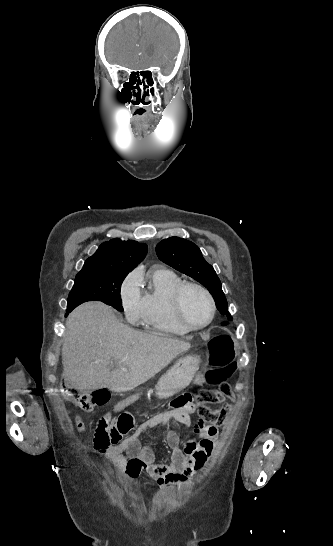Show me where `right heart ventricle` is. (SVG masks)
I'll return each mask as SVG.
<instances>
[{"label": "right heart ventricle", "mask_w": 333, "mask_h": 546, "mask_svg": "<svg viewBox=\"0 0 333 546\" xmlns=\"http://www.w3.org/2000/svg\"><path fill=\"white\" fill-rule=\"evenodd\" d=\"M184 280L174 271L156 268L142 280V322L155 331L173 336H184L190 331L177 320L172 308L175 289Z\"/></svg>", "instance_id": "obj_1"}]
</instances>
